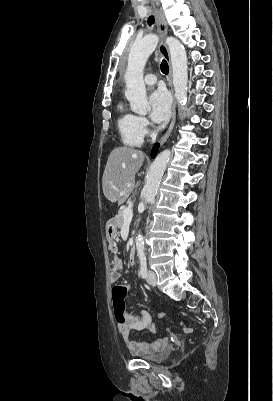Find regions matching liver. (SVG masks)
<instances>
[{
	"instance_id": "1",
	"label": "liver",
	"mask_w": 273,
	"mask_h": 401,
	"mask_svg": "<svg viewBox=\"0 0 273 401\" xmlns=\"http://www.w3.org/2000/svg\"><path fill=\"white\" fill-rule=\"evenodd\" d=\"M144 160L142 150L117 146L111 150L103 172V192L111 203L122 205L135 186V174ZM124 190V194H120Z\"/></svg>"
}]
</instances>
